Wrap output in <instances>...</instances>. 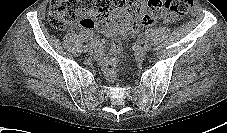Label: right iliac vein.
Masks as SVG:
<instances>
[{
	"mask_svg": "<svg viewBox=\"0 0 227 133\" xmlns=\"http://www.w3.org/2000/svg\"><path fill=\"white\" fill-rule=\"evenodd\" d=\"M86 52H88L89 54H94L95 52H96V48L95 47H88V49H87V51Z\"/></svg>",
	"mask_w": 227,
	"mask_h": 133,
	"instance_id": "right-iliac-vein-1",
	"label": "right iliac vein"
}]
</instances>
